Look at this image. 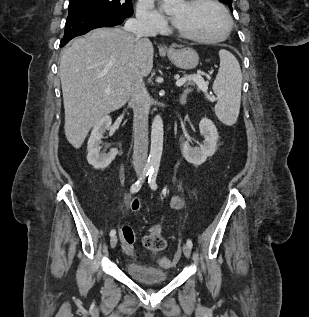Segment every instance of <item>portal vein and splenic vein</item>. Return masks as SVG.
<instances>
[{
  "label": "portal vein and splenic vein",
  "mask_w": 309,
  "mask_h": 317,
  "mask_svg": "<svg viewBox=\"0 0 309 317\" xmlns=\"http://www.w3.org/2000/svg\"><path fill=\"white\" fill-rule=\"evenodd\" d=\"M188 80H193L196 82V84L200 87V89L202 91H206L207 90V83L204 81V79L202 78V76L200 75V72H198V74L196 75H192L188 78H181L178 79L176 81V86L180 87L182 85H184ZM105 93H110V89H106Z\"/></svg>",
  "instance_id": "18ae733b"
}]
</instances>
